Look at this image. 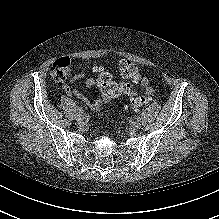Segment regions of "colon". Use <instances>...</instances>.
<instances>
[{"mask_svg": "<svg viewBox=\"0 0 219 219\" xmlns=\"http://www.w3.org/2000/svg\"><path fill=\"white\" fill-rule=\"evenodd\" d=\"M119 69L126 81L115 82L110 73L102 69H96L94 70L97 75L96 83L100 88L104 101L115 99L121 95H127L129 97L127 109L135 111L152 99L153 91H146L144 95L134 92V83L140 76V69L135 63L123 60L119 64ZM70 71L71 62L67 57L57 59L51 67V75L58 82L65 80L69 76Z\"/></svg>", "mask_w": 219, "mask_h": 219, "instance_id": "colon-1", "label": "colon"}]
</instances>
